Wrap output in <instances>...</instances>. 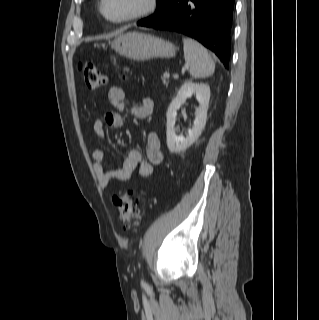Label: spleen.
Instances as JSON below:
<instances>
[{
  "instance_id": "spleen-1",
  "label": "spleen",
  "mask_w": 319,
  "mask_h": 320,
  "mask_svg": "<svg viewBox=\"0 0 319 320\" xmlns=\"http://www.w3.org/2000/svg\"><path fill=\"white\" fill-rule=\"evenodd\" d=\"M184 58L190 67V75L195 78L208 77L214 73L215 64L208 51L198 42L183 38Z\"/></svg>"
}]
</instances>
